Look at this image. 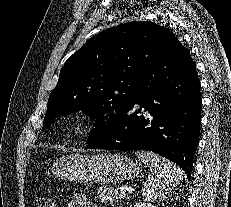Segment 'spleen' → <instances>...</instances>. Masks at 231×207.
Wrapping results in <instances>:
<instances>
[{
    "label": "spleen",
    "instance_id": "1",
    "mask_svg": "<svg viewBox=\"0 0 231 207\" xmlns=\"http://www.w3.org/2000/svg\"><path fill=\"white\" fill-rule=\"evenodd\" d=\"M136 156L152 174L142 190L146 200L154 202L165 197L183 180L182 169L161 156L146 151H137Z\"/></svg>",
    "mask_w": 231,
    "mask_h": 207
}]
</instances>
